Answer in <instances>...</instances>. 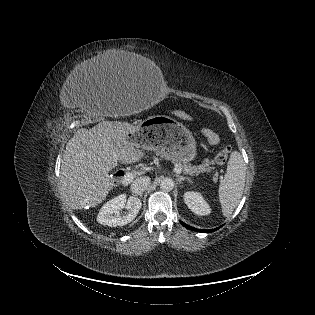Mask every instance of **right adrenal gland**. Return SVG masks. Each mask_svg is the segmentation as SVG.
I'll return each mask as SVG.
<instances>
[{
    "label": "right adrenal gland",
    "instance_id": "right-adrenal-gland-1",
    "mask_svg": "<svg viewBox=\"0 0 315 315\" xmlns=\"http://www.w3.org/2000/svg\"><path fill=\"white\" fill-rule=\"evenodd\" d=\"M133 196H139L140 198L142 197V193H139V194H132Z\"/></svg>",
    "mask_w": 315,
    "mask_h": 315
}]
</instances>
